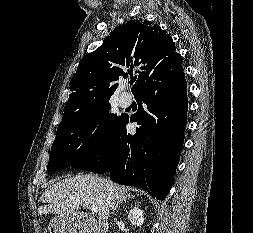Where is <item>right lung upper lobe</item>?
I'll return each mask as SVG.
<instances>
[{
    "label": "right lung upper lobe",
    "instance_id": "right-lung-upper-lobe-1",
    "mask_svg": "<svg viewBox=\"0 0 253 233\" xmlns=\"http://www.w3.org/2000/svg\"><path fill=\"white\" fill-rule=\"evenodd\" d=\"M182 64L175 44L159 25L130 20L119 26L94 52L80 62L70 81L71 94L63 118L109 101L119 79L134 74V96L153 79Z\"/></svg>",
    "mask_w": 253,
    "mask_h": 233
}]
</instances>
